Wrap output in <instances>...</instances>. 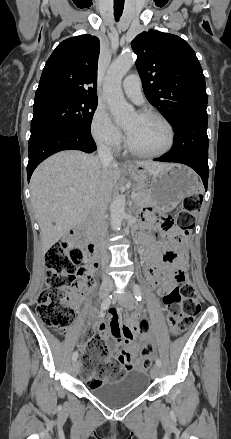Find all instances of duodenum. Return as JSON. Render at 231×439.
<instances>
[{"label": "duodenum", "mask_w": 231, "mask_h": 439, "mask_svg": "<svg viewBox=\"0 0 231 439\" xmlns=\"http://www.w3.org/2000/svg\"><path fill=\"white\" fill-rule=\"evenodd\" d=\"M76 231L78 232V229H77ZM138 239L146 243V241L143 240V239H142L141 237H139V236H138ZM87 250H88V252L93 256V258H94L95 260L98 259V252H97V248H96V244H95V241H94V240H91V241L89 242V244L87 245ZM147 267L149 268V265H148V264H147Z\"/></svg>", "instance_id": "410a0bca"}]
</instances>
